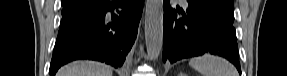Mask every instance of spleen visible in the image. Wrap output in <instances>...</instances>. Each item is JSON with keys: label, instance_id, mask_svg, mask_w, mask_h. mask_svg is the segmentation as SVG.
<instances>
[{"label": "spleen", "instance_id": "3e777b00", "mask_svg": "<svg viewBox=\"0 0 287 76\" xmlns=\"http://www.w3.org/2000/svg\"><path fill=\"white\" fill-rule=\"evenodd\" d=\"M189 65L203 76H237L236 68L221 57L204 55L193 58Z\"/></svg>", "mask_w": 287, "mask_h": 76}]
</instances>
